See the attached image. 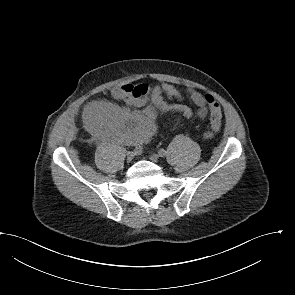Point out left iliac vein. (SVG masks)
Listing matches in <instances>:
<instances>
[{
  "instance_id": "4c4485c4",
  "label": "left iliac vein",
  "mask_w": 295,
  "mask_h": 295,
  "mask_svg": "<svg viewBox=\"0 0 295 295\" xmlns=\"http://www.w3.org/2000/svg\"><path fill=\"white\" fill-rule=\"evenodd\" d=\"M149 159L154 162V163H157L159 161V155L158 154H151L149 156Z\"/></svg>"
}]
</instances>
